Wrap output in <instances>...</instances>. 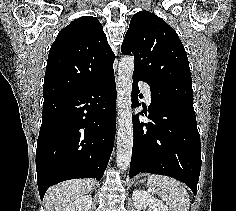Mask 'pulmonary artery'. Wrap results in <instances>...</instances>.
<instances>
[{
  "mask_svg": "<svg viewBox=\"0 0 236 211\" xmlns=\"http://www.w3.org/2000/svg\"><path fill=\"white\" fill-rule=\"evenodd\" d=\"M141 91L144 94L145 100L150 103L152 99L151 91H150V86L147 83H141Z\"/></svg>",
  "mask_w": 236,
  "mask_h": 211,
  "instance_id": "pulmonary-artery-1",
  "label": "pulmonary artery"
}]
</instances>
